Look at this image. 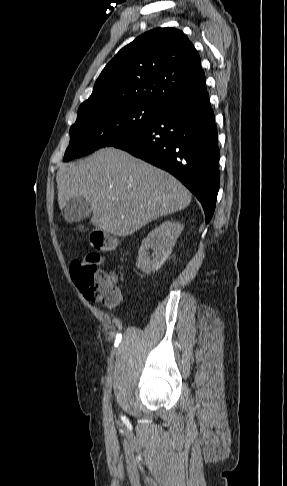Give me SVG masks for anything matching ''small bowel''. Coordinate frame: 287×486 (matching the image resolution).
Wrapping results in <instances>:
<instances>
[{
	"label": "small bowel",
	"instance_id": "small-bowel-1",
	"mask_svg": "<svg viewBox=\"0 0 287 486\" xmlns=\"http://www.w3.org/2000/svg\"><path fill=\"white\" fill-rule=\"evenodd\" d=\"M113 280L115 283H117V276L115 274H112Z\"/></svg>",
	"mask_w": 287,
	"mask_h": 486
}]
</instances>
